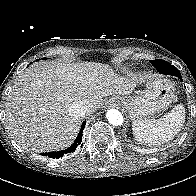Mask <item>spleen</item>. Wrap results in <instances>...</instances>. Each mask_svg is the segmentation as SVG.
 Segmentation results:
<instances>
[{"mask_svg":"<svg viewBox=\"0 0 196 196\" xmlns=\"http://www.w3.org/2000/svg\"><path fill=\"white\" fill-rule=\"evenodd\" d=\"M185 122V108L175 106L160 119H137L132 122L135 138L145 144L156 145L174 138Z\"/></svg>","mask_w":196,"mask_h":196,"instance_id":"spleen-1","label":"spleen"}]
</instances>
